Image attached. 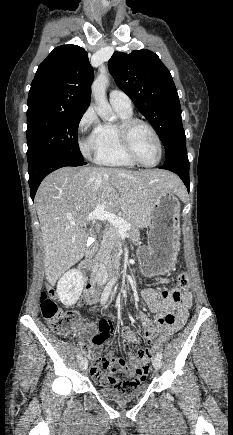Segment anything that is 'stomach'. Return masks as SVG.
Here are the masks:
<instances>
[{"mask_svg": "<svg viewBox=\"0 0 233 435\" xmlns=\"http://www.w3.org/2000/svg\"><path fill=\"white\" fill-rule=\"evenodd\" d=\"M180 202L174 192L156 202L149 224L148 244L138 249L140 269L145 277L169 273L180 245Z\"/></svg>", "mask_w": 233, "mask_h": 435, "instance_id": "0dacf381", "label": "stomach"}]
</instances>
